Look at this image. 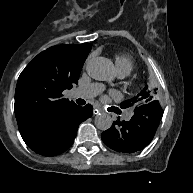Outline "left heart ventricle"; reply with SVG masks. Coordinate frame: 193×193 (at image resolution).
I'll list each match as a JSON object with an SVG mask.
<instances>
[{
	"instance_id": "b2bd125f",
	"label": "left heart ventricle",
	"mask_w": 193,
	"mask_h": 193,
	"mask_svg": "<svg viewBox=\"0 0 193 193\" xmlns=\"http://www.w3.org/2000/svg\"><path fill=\"white\" fill-rule=\"evenodd\" d=\"M115 80H106L104 83H103V86L104 87H110L114 84Z\"/></svg>"
}]
</instances>
